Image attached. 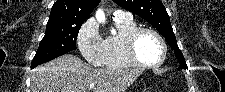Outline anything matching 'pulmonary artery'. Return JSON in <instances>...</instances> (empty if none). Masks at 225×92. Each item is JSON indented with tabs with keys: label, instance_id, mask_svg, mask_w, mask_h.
<instances>
[{
	"label": "pulmonary artery",
	"instance_id": "pulmonary-artery-1",
	"mask_svg": "<svg viewBox=\"0 0 225 92\" xmlns=\"http://www.w3.org/2000/svg\"><path fill=\"white\" fill-rule=\"evenodd\" d=\"M126 17H131L130 13L124 12L122 10H116L114 12V18H126Z\"/></svg>",
	"mask_w": 225,
	"mask_h": 92
}]
</instances>
